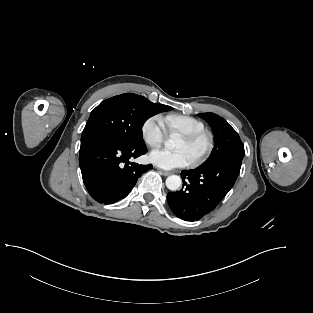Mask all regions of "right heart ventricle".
<instances>
[{"mask_svg": "<svg viewBox=\"0 0 313 313\" xmlns=\"http://www.w3.org/2000/svg\"><path fill=\"white\" fill-rule=\"evenodd\" d=\"M166 131L170 134H191L205 130L204 123L193 116L184 114H168L162 117Z\"/></svg>", "mask_w": 313, "mask_h": 313, "instance_id": "obj_1", "label": "right heart ventricle"}]
</instances>
